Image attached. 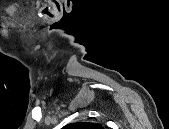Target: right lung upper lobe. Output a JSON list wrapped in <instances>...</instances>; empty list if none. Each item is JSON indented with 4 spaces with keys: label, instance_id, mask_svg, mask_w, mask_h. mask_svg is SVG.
Listing matches in <instances>:
<instances>
[{
    "label": "right lung upper lobe",
    "instance_id": "right-lung-upper-lobe-1",
    "mask_svg": "<svg viewBox=\"0 0 169 129\" xmlns=\"http://www.w3.org/2000/svg\"><path fill=\"white\" fill-rule=\"evenodd\" d=\"M66 129H97L101 128V126L97 123H89V122H78L72 123L65 126Z\"/></svg>",
    "mask_w": 169,
    "mask_h": 129
}]
</instances>
